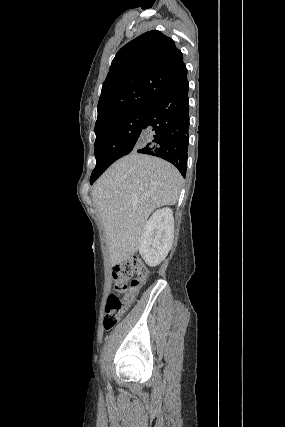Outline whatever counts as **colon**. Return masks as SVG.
<instances>
[{
	"label": "colon",
	"instance_id": "5ec220e1",
	"mask_svg": "<svg viewBox=\"0 0 285 427\" xmlns=\"http://www.w3.org/2000/svg\"><path fill=\"white\" fill-rule=\"evenodd\" d=\"M149 270L139 258L132 257L117 264L112 271L114 292L109 294L105 306L103 328L112 329L127 311L138 294Z\"/></svg>",
	"mask_w": 285,
	"mask_h": 427
}]
</instances>
